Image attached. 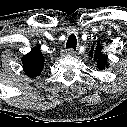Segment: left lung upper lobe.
Wrapping results in <instances>:
<instances>
[{
    "mask_svg": "<svg viewBox=\"0 0 127 127\" xmlns=\"http://www.w3.org/2000/svg\"><path fill=\"white\" fill-rule=\"evenodd\" d=\"M102 47L98 43L97 46H91L90 56L96 61L97 68L102 70L107 67V56L102 53Z\"/></svg>",
    "mask_w": 127,
    "mask_h": 127,
    "instance_id": "obj_1",
    "label": "left lung upper lobe"
}]
</instances>
